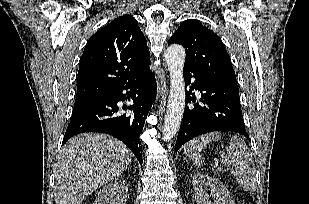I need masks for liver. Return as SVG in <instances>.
<instances>
[{
    "mask_svg": "<svg viewBox=\"0 0 309 204\" xmlns=\"http://www.w3.org/2000/svg\"><path fill=\"white\" fill-rule=\"evenodd\" d=\"M132 157L125 144L109 135L84 133L71 138L57 157L55 204H81L123 173Z\"/></svg>",
    "mask_w": 309,
    "mask_h": 204,
    "instance_id": "liver-1",
    "label": "liver"
}]
</instances>
